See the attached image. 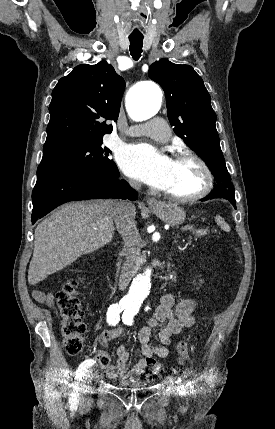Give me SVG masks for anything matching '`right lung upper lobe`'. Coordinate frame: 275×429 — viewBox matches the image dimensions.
Returning <instances> with one entry per match:
<instances>
[{
  "label": "right lung upper lobe",
  "mask_w": 275,
  "mask_h": 429,
  "mask_svg": "<svg viewBox=\"0 0 275 429\" xmlns=\"http://www.w3.org/2000/svg\"><path fill=\"white\" fill-rule=\"evenodd\" d=\"M125 82L112 65L82 64L61 78L52 92L44 154L70 144L103 140L118 119Z\"/></svg>",
  "instance_id": "obj_1"
}]
</instances>
